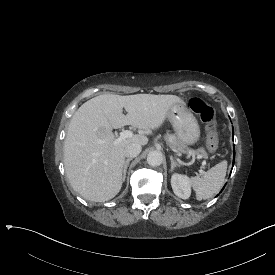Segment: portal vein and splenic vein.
<instances>
[{
    "mask_svg": "<svg viewBox=\"0 0 275 275\" xmlns=\"http://www.w3.org/2000/svg\"><path fill=\"white\" fill-rule=\"evenodd\" d=\"M131 137H133V132L130 130H125L123 132H120V136L117 139H115L114 144H118L121 141L125 140L126 138H131ZM198 158H201V157H198ZM202 165L203 166L206 165V161H203Z\"/></svg>",
    "mask_w": 275,
    "mask_h": 275,
    "instance_id": "portal-vein-and-splenic-vein-1",
    "label": "portal vein and splenic vein"
}]
</instances>
